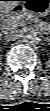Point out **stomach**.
<instances>
[{
    "label": "stomach",
    "instance_id": "0dacf381",
    "mask_svg": "<svg viewBox=\"0 0 50 111\" xmlns=\"http://www.w3.org/2000/svg\"><path fill=\"white\" fill-rule=\"evenodd\" d=\"M24 10H28L37 17H44L50 13V0H24Z\"/></svg>",
    "mask_w": 50,
    "mask_h": 111
}]
</instances>
